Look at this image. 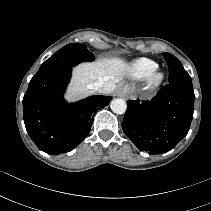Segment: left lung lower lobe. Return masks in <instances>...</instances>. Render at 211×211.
<instances>
[{
    "label": "left lung lower lobe",
    "mask_w": 211,
    "mask_h": 211,
    "mask_svg": "<svg viewBox=\"0 0 211 211\" xmlns=\"http://www.w3.org/2000/svg\"><path fill=\"white\" fill-rule=\"evenodd\" d=\"M195 95L191 84L169 83L149 102L128 100L124 133L140 150L166 153L188 133Z\"/></svg>",
    "instance_id": "left-lung-lower-lobe-1"
}]
</instances>
